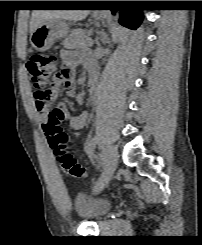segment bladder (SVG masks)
<instances>
[{
	"label": "bladder",
	"mask_w": 202,
	"mask_h": 245,
	"mask_svg": "<svg viewBox=\"0 0 202 245\" xmlns=\"http://www.w3.org/2000/svg\"><path fill=\"white\" fill-rule=\"evenodd\" d=\"M75 208L79 216L99 222L110 213L112 204L106 199L84 192L76 197Z\"/></svg>",
	"instance_id": "1"
}]
</instances>
